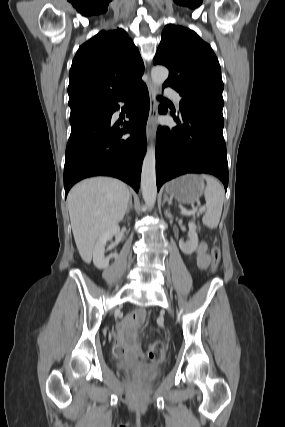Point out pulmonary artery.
<instances>
[{"instance_id":"pulmonary-artery-1","label":"pulmonary artery","mask_w":285,"mask_h":427,"mask_svg":"<svg viewBox=\"0 0 285 427\" xmlns=\"http://www.w3.org/2000/svg\"><path fill=\"white\" fill-rule=\"evenodd\" d=\"M164 92L166 96L170 97L175 102V104L180 107L182 98L174 88L168 86L165 88Z\"/></svg>"}]
</instances>
